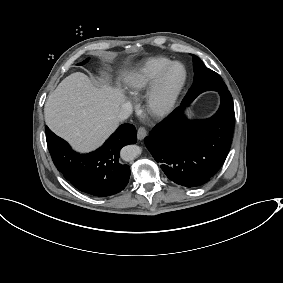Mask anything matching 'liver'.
<instances>
[{
	"label": "liver",
	"instance_id": "1",
	"mask_svg": "<svg viewBox=\"0 0 283 283\" xmlns=\"http://www.w3.org/2000/svg\"><path fill=\"white\" fill-rule=\"evenodd\" d=\"M124 97L117 90L98 89L80 72L66 77L45 104L47 126L76 148L89 150L99 145L119 122Z\"/></svg>",
	"mask_w": 283,
	"mask_h": 283
}]
</instances>
